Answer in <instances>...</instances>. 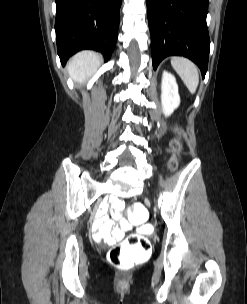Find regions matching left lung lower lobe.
I'll use <instances>...</instances> for the list:
<instances>
[{
	"label": "left lung lower lobe",
	"mask_w": 247,
	"mask_h": 304,
	"mask_svg": "<svg viewBox=\"0 0 247 304\" xmlns=\"http://www.w3.org/2000/svg\"><path fill=\"white\" fill-rule=\"evenodd\" d=\"M154 70L167 56L180 55L198 65L205 77L210 39L208 0H146Z\"/></svg>",
	"instance_id": "obj_1"
}]
</instances>
